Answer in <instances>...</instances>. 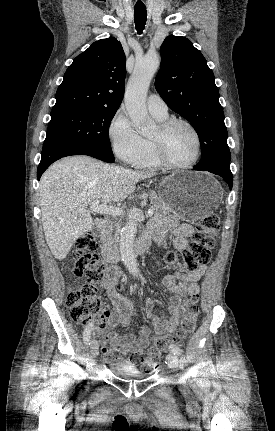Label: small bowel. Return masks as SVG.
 <instances>
[{"mask_svg": "<svg viewBox=\"0 0 275 431\" xmlns=\"http://www.w3.org/2000/svg\"><path fill=\"white\" fill-rule=\"evenodd\" d=\"M149 231L153 235V240L159 245L163 244L168 234H172L174 248L183 250L188 246L193 228L187 223L179 224L174 217H167L154 222ZM205 273L206 266L201 265L194 271L185 274H171L164 278L163 285L173 294L170 298L168 316L156 314L154 302L151 299L146 301V316L158 335L166 336L176 330L188 305V297L198 294V282ZM119 278L120 270L117 267L109 268L104 275L103 284L112 308L107 311L105 327L102 329L95 328L94 335L101 339V351L107 362L135 366L133 357L141 354L149 345L152 330L149 327H143L137 334L123 335L114 331L117 325H130L133 314L131 301L116 291Z\"/></svg>", "mask_w": 275, "mask_h": 431, "instance_id": "small-bowel-1", "label": "small bowel"}]
</instances>
